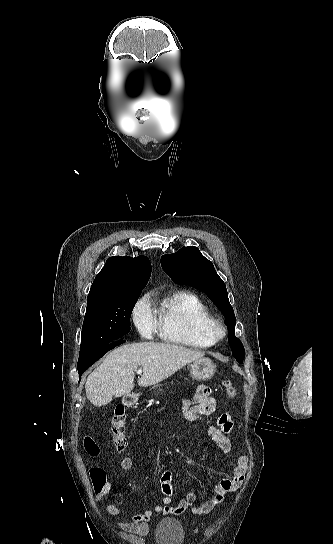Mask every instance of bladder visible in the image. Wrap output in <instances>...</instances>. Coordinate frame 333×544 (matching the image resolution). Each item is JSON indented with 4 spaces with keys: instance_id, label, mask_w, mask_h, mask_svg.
Masks as SVG:
<instances>
[{
    "instance_id": "1",
    "label": "bladder",
    "mask_w": 333,
    "mask_h": 544,
    "mask_svg": "<svg viewBox=\"0 0 333 544\" xmlns=\"http://www.w3.org/2000/svg\"><path fill=\"white\" fill-rule=\"evenodd\" d=\"M185 538L181 523L173 518L162 519L155 530L157 544H183Z\"/></svg>"
}]
</instances>
